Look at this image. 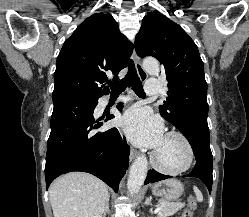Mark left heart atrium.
<instances>
[{"instance_id": "1", "label": "left heart atrium", "mask_w": 249, "mask_h": 217, "mask_svg": "<svg viewBox=\"0 0 249 217\" xmlns=\"http://www.w3.org/2000/svg\"><path fill=\"white\" fill-rule=\"evenodd\" d=\"M127 137L136 145L157 149L163 142L162 122L141 107L129 109L121 119Z\"/></svg>"}]
</instances>
